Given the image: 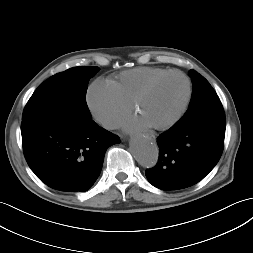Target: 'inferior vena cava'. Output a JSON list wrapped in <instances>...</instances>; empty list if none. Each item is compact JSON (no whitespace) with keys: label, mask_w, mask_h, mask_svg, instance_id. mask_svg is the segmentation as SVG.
Returning a JSON list of instances; mask_svg holds the SVG:
<instances>
[{"label":"inferior vena cava","mask_w":253,"mask_h":253,"mask_svg":"<svg viewBox=\"0 0 253 253\" xmlns=\"http://www.w3.org/2000/svg\"><path fill=\"white\" fill-rule=\"evenodd\" d=\"M103 123L106 127H111L112 126V121L110 119H105Z\"/></svg>","instance_id":"obj_1"}]
</instances>
